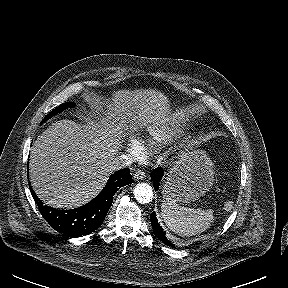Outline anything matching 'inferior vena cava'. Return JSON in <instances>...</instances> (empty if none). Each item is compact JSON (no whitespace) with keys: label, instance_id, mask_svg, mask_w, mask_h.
<instances>
[{"label":"inferior vena cava","instance_id":"obj_1","mask_svg":"<svg viewBox=\"0 0 288 288\" xmlns=\"http://www.w3.org/2000/svg\"><path fill=\"white\" fill-rule=\"evenodd\" d=\"M133 163L132 157L128 155H118L110 162V169L116 171L122 168H126Z\"/></svg>","mask_w":288,"mask_h":288}]
</instances>
